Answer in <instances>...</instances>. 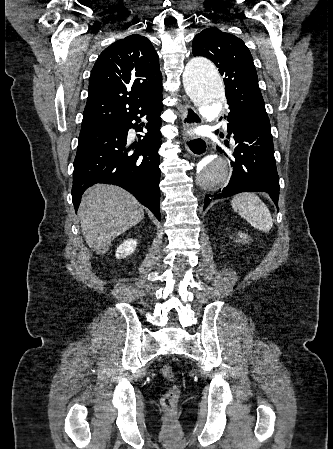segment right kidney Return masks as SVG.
<instances>
[{"label":"right kidney","instance_id":"obj_1","mask_svg":"<svg viewBox=\"0 0 333 449\" xmlns=\"http://www.w3.org/2000/svg\"><path fill=\"white\" fill-rule=\"evenodd\" d=\"M137 246V241L135 239H128L125 240L118 248L116 251V257L117 258H122V257H126L129 256L134 249Z\"/></svg>","mask_w":333,"mask_h":449}]
</instances>
